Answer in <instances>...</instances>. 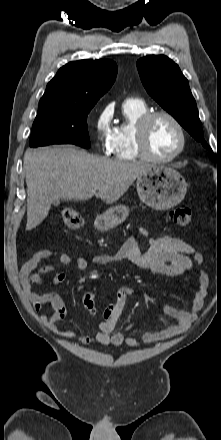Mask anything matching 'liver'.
Wrapping results in <instances>:
<instances>
[{"mask_svg":"<svg viewBox=\"0 0 221 440\" xmlns=\"http://www.w3.org/2000/svg\"><path fill=\"white\" fill-rule=\"evenodd\" d=\"M152 167L144 162L94 156L71 146L27 150L23 165L27 184L26 230L38 226L47 217L51 204L60 199L89 200L95 195L112 204Z\"/></svg>","mask_w":221,"mask_h":440,"instance_id":"6515ba94","label":"liver"}]
</instances>
